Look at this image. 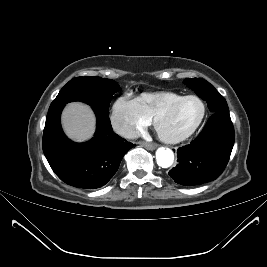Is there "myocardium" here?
Returning a JSON list of instances; mask_svg holds the SVG:
<instances>
[{"mask_svg": "<svg viewBox=\"0 0 267 267\" xmlns=\"http://www.w3.org/2000/svg\"><path fill=\"white\" fill-rule=\"evenodd\" d=\"M191 99L199 101L202 105V113H201L199 119L197 120V122L187 132H185L179 136H168V135L163 134L159 129L161 121L164 118L171 115L184 102H186L187 100H191ZM206 113H207V106H206V103L204 102V100L202 98H200L197 95H187V96H184L183 98L179 99L175 103L171 104L166 109L159 112L153 119V126H154L159 138L162 141L169 143V144H177V143H180V142L187 140L189 137H191L198 130V128L201 126V124L203 123V121L205 119Z\"/></svg>", "mask_w": 267, "mask_h": 267, "instance_id": "myocardium-1", "label": "myocardium"}]
</instances>
